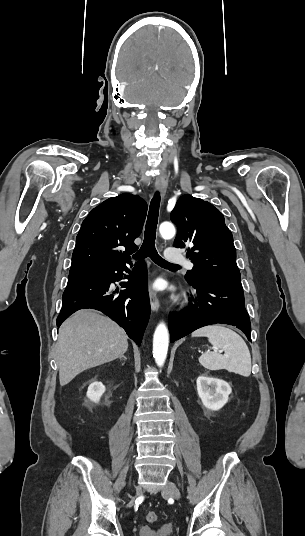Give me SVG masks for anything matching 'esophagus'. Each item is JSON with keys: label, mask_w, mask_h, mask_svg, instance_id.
Listing matches in <instances>:
<instances>
[{"label": "esophagus", "mask_w": 305, "mask_h": 536, "mask_svg": "<svg viewBox=\"0 0 305 536\" xmlns=\"http://www.w3.org/2000/svg\"><path fill=\"white\" fill-rule=\"evenodd\" d=\"M167 185H168V177L167 176H164V177L157 176L156 177V183H155L156 190L161 193L162 198H164V196H165V193H166V190H167ZM149 299H150L151 309L154 312H157V310L159 309V301H158V298L156 296V293L154 292V290L151 287H149Z\"/></svg>", "instance_id": "esophagus-1"}]
</instances>
